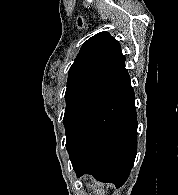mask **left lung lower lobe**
I'll return each instance as SVG.
<instances>
[{
	"label": "left lung lower lobe",
	"instance_id": "left-lung-lower-lobe-1",
	"mask_svg": "<svg viewBox=\"0 0 178 195\" xmlns=\"http://www.w3.org/2000/svg\"><path fill=\"white\" fill-rule=\"evenodd\" d=\"M129 86L95 115L66 145L77 177L91 174L121 187L137 153V114Z\"/></svg>",
	"mask_w": 178,
	"mask_h": 195
}]
</instances>
